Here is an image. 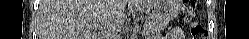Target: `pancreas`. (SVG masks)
Returning <instances> with one entry per match:
<instances>
[{
	"label": "pancreas",
	"instance_id": "cf45deb5",
	"mask_svg": "<svg viewBox=\"0 0 249 39\" xmlns=\"http://www.w3.org/2000/svg\"><path fill=\"white\" fill-rule=\"evenodd\" d=\"M168 23L164 20L157 19V18H147L146 23L144 25V32L145 35L148 36V38H151L157 34H159Z\"/></svg>",
	"mask_w": 249,
	"mask_h": 39
}]
</instances>
